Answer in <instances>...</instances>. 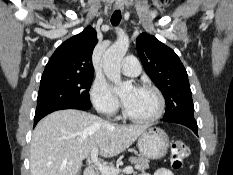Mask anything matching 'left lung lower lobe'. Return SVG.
I'll return each instance as SVG.
<instances>
[{"instance_id": "0a47b994", "label": "left lung lower lobe", "mask_w": 233, "mask_h": 175, "mask_svg": "<svg viewBox=\"0 0 233 175\" xmlns=\"http://www.w3.org/2000/svg\"><path fill=\"white\" fill-rule=\"evenodd\" d=\"M165 122L185 125L188 128H190L196 135H198V126L194 118H174V119L166 120Z\"/></svg>"}]
</instances>
